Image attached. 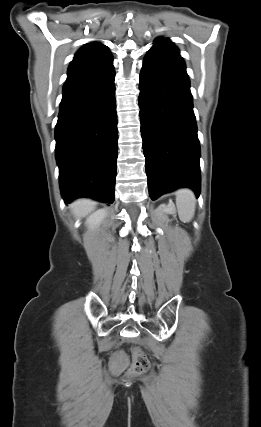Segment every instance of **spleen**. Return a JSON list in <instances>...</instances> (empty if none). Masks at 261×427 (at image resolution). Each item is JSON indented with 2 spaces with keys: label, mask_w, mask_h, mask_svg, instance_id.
Masks as SVG:
<instances>
[{
  "label": "spleen",
  "mask_w": 261,
  "mask_h": 427,
  "mask_svg": "<svg viewBox=\"0 0 261 427\" xmlns=\"http://www.w3.org/2000/svg\"><path fill=\"white\" fill-rule=\"evenodd\" d=\"M176 206L178 209L179 219L188 223L195 214L196 198L194 193L189 189H180L176 191Z\"/></svg>",
  "instance_id": "1"
}]
</instances>
